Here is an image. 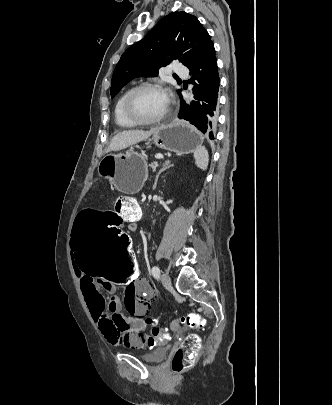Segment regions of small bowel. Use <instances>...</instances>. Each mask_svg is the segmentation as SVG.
Wrapping results in <instances>:
<instances>
[{
    "label": "small bowel",
    "mask_w": 332,
    "mask_h": 405,
    "mask_svg": "<svg viewBox=\"0 0 332 405\" xmlns=\"http://www.w3.org/2000/svg\"><path fill=\"white\" fill-rule=\"evenodd\" d=\"M127 220L128 229L135 231L136 222L130 217ZM71 256L85 302L106 340L111 344L135 346L136 353H143L140 344L145 339L139 338L138 334L144 332L148 326L143 316L148 311L150 302L154 301V290L145 281L132 282L131 287H126L122 301L113 281H99L97 275H83L79 262L75 261L74 249H71ZM101 287L107 291V299L101 294ZM123 311H127L132 317H127Z\"/></svg>",
    "instance_id": "obj_1"
}]
</instances>
